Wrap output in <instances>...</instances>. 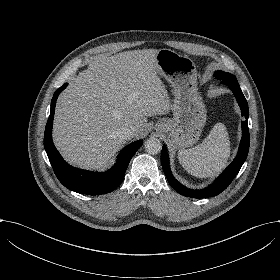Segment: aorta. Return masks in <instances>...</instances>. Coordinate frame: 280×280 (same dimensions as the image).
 I'll use <instances>...</instances> for the list:
<instances>
[{
    "label": "aorta",
    "mask_w": 280,
    "mask_h": 280,
    "mask_svg": "<svg viewBox=\"0 0 280 280\" xmlns=\"http://www.w3.org/2000/svg\"><path fill=\"white\" fill-rule=\"evenodd\" d=\"M145 151L149 154H158L162 150L161 141L158 138L151 137L144 143Z\"/></svg>",
    "instance_id": "762f6f07"
}]
</instances>
